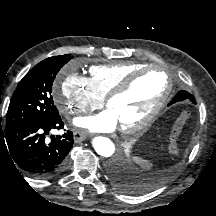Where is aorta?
Wrapping results in <instances>:
<instances>
[{
	"label": "aorta",
	"mask_w": 216,
	"mask_h": 216,
	"mask_svg": "<svg viewBox=\"0 0 216 216\" xmlns=\"http://www.w3.org/2000/svg\"><path fill=\"white\" fill-rule=\"evenodd\" d=\"M94 150L103 157H111L115 153L114 143L107 137L98 136L92 140Z\"/></svg>",
	"instance_id": "obj_1"
}]
</instances>
